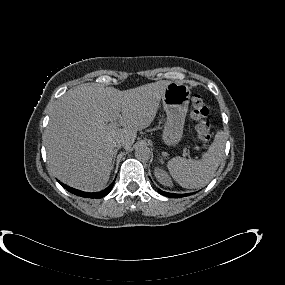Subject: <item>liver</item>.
Instances as JSON below:
<instances>
[{"label":"liver","mask_w":285,"mask_h":285,"mask_svg":"<svg viewBox=\"0 0 285 285\" xmlns=\"http://www.w3.org/2000/svg\"><path fill=\"white\" fill-rule=\"evenodd\" d=\"M169 83L123 91L82 84L68 90L56 101L45 132L47 163L55 176L84 191L103 189L112 170L115 141L124 140L126 149L133 145L137 131L154 120ZM117 120L123 128L111 126Z\"/></svg>","instance_id":"1"}]
</instances>
